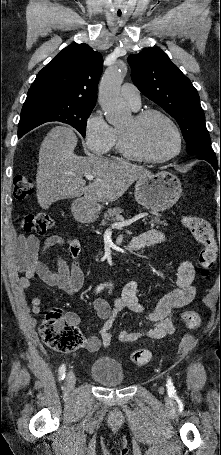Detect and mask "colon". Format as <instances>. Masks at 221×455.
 Returning <instances> with one entry per match:
<instances>
[{"instance_id":"1","label":"colon","mask_w":221,"mask_h":455,"mask_svg":"<svg viewBox=\"0 0 221 455\" xmlns=\"http://www.w3.org/2000/svg\"><path fill=\"white\" fill-rule=\"evenodd\" d=\"M35 189L34 181L26 176H19L14 181L13 195L15 199H25ZM55 224V219L48 213H28L22 218V227L27 232L45 234ZM184 226L192 233L202 248L199 252V267L203 278L209 276L218 256L221 255L209 223L202 217L187 215L183 219ZM182 321L189 327L199 324V316L194 311H185L181 315ZM40 335L44 343L57 352H72L84 344V337L75 323L60 309L50 310L40 327ZM151 353L145 349L135 350L131 354V361L137 366L146 365Z\"/></svg>"}]
</instances>
